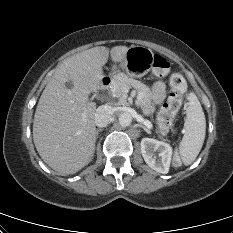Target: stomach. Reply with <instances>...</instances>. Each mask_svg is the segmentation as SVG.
Here are the masks:
<instances>
[{
	"instance_id": "stomach-1",
	"label": "stomach",
	"mask_w": 233,
	"mask_h": 233,
	"mask_svg": "<svg viewBox=\"0 0 233 233\" xmlns=\"http://www.w3.org/2000/svg\"><path fill=\"white\" fill-rule=\"evenodd\" d=\"M154 53L143 46H131L115 72L114 78L120 73V69L133 78H141L152 68Z\"/></svg>"
}]
</instances>
